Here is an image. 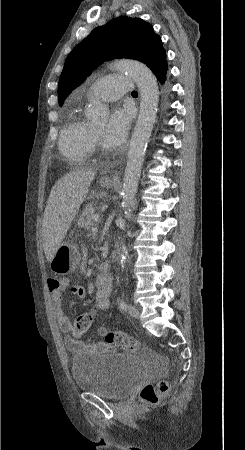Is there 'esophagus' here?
I'll return each instance as SVG.
<instances>
[{"label":"esophagus","mask_w":245,"mask_h":450,"mask_svg":"<svg viewBox=\"0 0 245 450\" xmlns=\"http://www.w3.org/2000/svg\"><path fill=\"white\" fill-rule=\"evenodd\" d=\"M117 175H118L117 172H115L114 177L117 176ZM114 177H112V176H107L106 179H113Z\"/></svg>","instance_id":"34e87169"}]
</instances>
